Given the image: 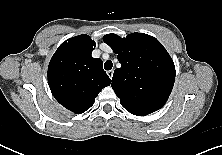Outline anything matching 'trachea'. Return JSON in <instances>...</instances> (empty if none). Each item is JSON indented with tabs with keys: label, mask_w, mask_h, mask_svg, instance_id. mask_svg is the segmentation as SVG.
I'll list each match as a JSON object with an SVG mask.
<instances>
[{
	"label": "trachea",
	"mask_w": 222,
	"mask_h": 155,
	"mask_svg": "<svg viewBox=\"0 0 222 155\" xmlns=\"http://www.w3.org/2000/svg\"><path fill=\"white\" fill-rule=\"evenodd\" d=\"M113 67V63L111 60H107L105 63H104V69L105 70H111Z\"/></svg>",
	"instance_id": "trachea-1"
}]
</instances>
